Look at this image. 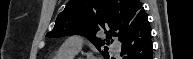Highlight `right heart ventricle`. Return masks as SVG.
I'll list each match as a JSON object with an SVG mask.
<instances>
[{
    "label": "right heart ventricle",
    "mask_w": 193,
    "mask_h": 59,
    "mask_svg": "<svg viewBox=\"0 0 193 59\" xmlns=\"http://www.w3.org/2000/svg\"><path fill=\"white\" fill-rule=\"evenodd\" d=\"M76 54L77 53L65 50L61 47L52 59H73Z\"/></svg>",
    "instance_id": "right-heart-ventricle-1"
}]
</instances>
